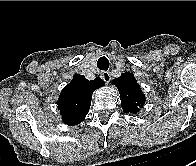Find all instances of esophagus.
<instances>
[{
    "instance_id": "1",
    "label": "esophagus",
    "mask_w": 196,
    "mask_h": 166,
    "mask_svg": "<svg viewBox=\"0 0 196 166\" xmlns=\"http://www.w3.org/2000/svg\"><path fill=\"white\" fill-rule=\"evenodd\" d=\"M101 76L106 83H109L111 81V75L108 71L102 72Z\"/></svg>"
}]
</instances>
